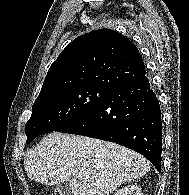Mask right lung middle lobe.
<instances>
[{
  "instance_id": "obj_1",
  "label": "right lung middle lobe",
  "mask_w": 189,
  "mask_h": 195,
  "mask_svg": "<svg viewBox=\"0 0 189 195\" xmlns=\"http://www.w3.org/2000/svg\"><path fill=\"white\" fill-rule=\"evenodd\" d=\"M109 92L103 88L75 87L39 96L25 126L26 143H31L39 135L59 131L73 123Z\"/></svg>"
}]
</instances>
